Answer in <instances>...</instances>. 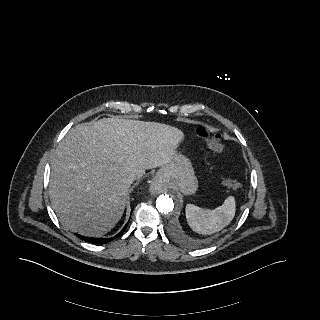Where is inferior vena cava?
<instances>
[{
    "instance_id": "inferior-vena-cava-1",
    "label": "inferior vena cava",
    "mask_w": 320,
    "mask_h": 320,
    "mask_svg": "<svg viewBox=\"0 0 320 320\" xmlns=\"http://www.w3.org/2000/svg\"><path fill=\"white\" fill-rule=\"evenodd\" d=\"M137 175L135 173H131L129 174V176L127 177V181L131 184L136 180Z\"/></svg>"
}]
</instances>
